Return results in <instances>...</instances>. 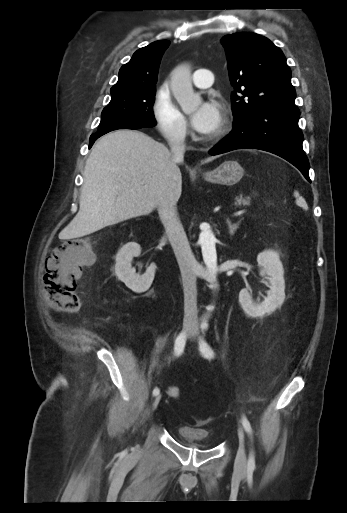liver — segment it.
Wrapping results in <instances>:
<instances>
[{"mask_svg":"<svg viewBox=\"0 0 347 513\" xmlns=\"http://www.w3.org/2000/svg\"><path fill=\"white\" fill-rule=\"evenodd\" d=\"M172 185L180 197L181 172L166 146L141 131L105 134L86 161L79 211L59 236L78 238L148 215L158 208L162 189Z\"/></svg>","mask_w":347,"mask_h":513,"instance_id":"6515ba94","label":"liver"}]
</instances>
